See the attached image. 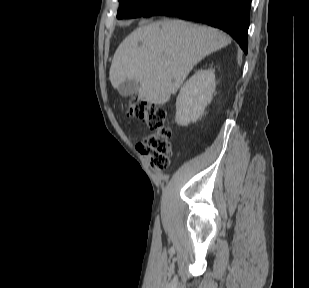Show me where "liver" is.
I'll use <instances>...</instances> for the list:
<instances>
[{"label": "liver", "instance_id": "6515ba94", "mask_svg": "<svg viewBox=\"0 0 309 288\" xmlns=\"http://www.w3.org/2000/svg\"><path fill=\"white\" fill-rule=\"evenodd\" d=\"M230 43V37L212 27L169 19L147 23L119 45L109 79L114 88L135 80L139 100L162 105L197 63Z\"/></svg>", "mask_w": 309, "mask_h": 288}]
</instances>
